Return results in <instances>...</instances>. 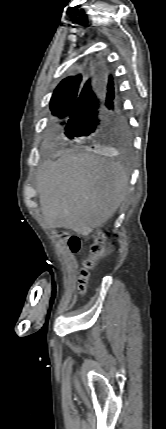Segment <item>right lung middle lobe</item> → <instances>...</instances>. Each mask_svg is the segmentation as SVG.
I'll use <instances>...</instances> for the list:
<instances>
[{"mask_svg":"<svg viewBox=\"0 0 166 429\" xmlns=\"http://www.w3.org/2000/svg\"><path fill=\"white\" fill-rule=\"evenodd\" d=\"M83 82L81 75L63 80L54 90L50 100V109L54 116L61 120V125L65 124L66 118L74 105ZM130 130L127 127L115 129L108 135L106 143L117 145L121 148H128L130 145Z\"/></svg>","mask_w":166,"mask_h":429,"instance_id":"1","label":"right lung middle lobe"}]
</instances>
